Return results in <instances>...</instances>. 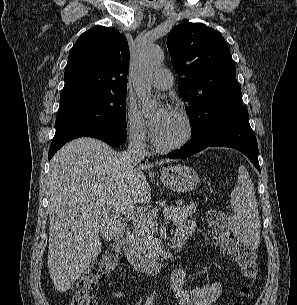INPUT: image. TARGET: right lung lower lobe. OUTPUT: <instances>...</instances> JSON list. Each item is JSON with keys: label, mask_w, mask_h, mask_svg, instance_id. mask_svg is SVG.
I'll return each instance as SVG.
<instances>
[{"label": "right lung lower lobe", "mask_w": 297, "mask_h": 305, "mask_svg": "<svg viewBox=\"0 0 297 305\" xmlns=\"http://www.w3.org/2000/svg\"><path fill=\"white\" fill-rule=\"evenodd\" d=\"M94 137L97 139H100L110 146H118L122 143H124L127 139V132L125 129H90L83 132H80L73 137L69 138L68 140L64 141L57 147H50L48 157L49 159L52 158V156L57 152L58 149H60L65 143L68 141L78 138V137Z\"/></svg>", "instance_id": "98d812e1"}]
</instances>
